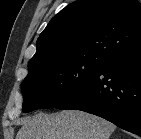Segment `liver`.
<instances>
[{"label":"liver","mask_w":141,"mask_h":139,"mask_svg":"<svg viewBox=\"0 0 141 139\" xmlns=\"http://www.w3.org/2000/svg\"><path fill=\"white\" fill-rule=\"evenodd\" d=\"M114 124L78 110L38 113L23 120L16 139H109Z\"/></svg>","instance_id":"6515ba94"}]
</instances>
